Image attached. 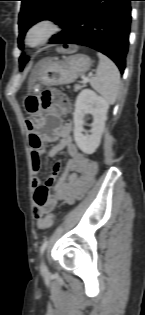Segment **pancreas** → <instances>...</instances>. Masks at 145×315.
Returning a JSON list of instances; mask_svg holds the SVG:
<instances>
[{"label": "pancreas", "mask_w": 145, "mask_h": 315, "mask_svg": "<svg viewBox=\"0 0 145 315\" xmlns=\"http://www.w3.org/2000/svg\"><path fill=\"white\" fill-rule=\"evenodd\" d=\"M84 86H81V85H75L74 86V91H79L83 88Z\"/></svg>", "instance_id": "1"}]
</instances>
